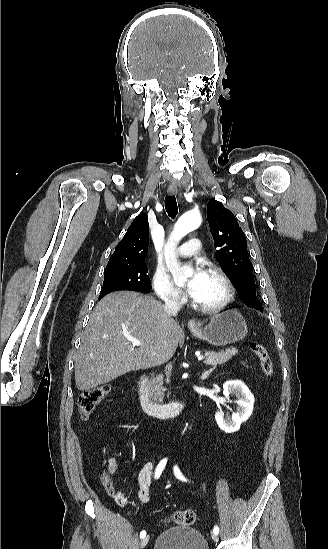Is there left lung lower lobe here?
Listing matches in <instances>:
<instances>
[{
	"instance_id": "obj_1",
	"label": "left lung lower lobe",
	"mask_w": 328,
	"mask_h": 549,
	"mask_svg": "<svg viewBox=\"0 0 328 549\" xmlns=\"http://www.w3.org/2000/svg\"><path fill=\"white\" fill-rule=\"evenodd\" d=\"M247 306H249L251 308H255V309L263 312V308H262V305L260 304V302L259 303H254L252 305H247ZM234 307H236V306H234ZM230 308H232V307H230Z\"/></svg>"
}]
</instances>
